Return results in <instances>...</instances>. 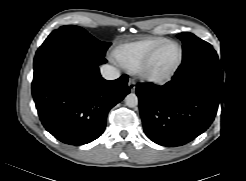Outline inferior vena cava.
<instances>
[{"mask_svg": "<svg viewBox=\"0 0 246 181\" xmlns=\"http://www.w3.org/2000/svg\"><path fill=\"white\" fill-rule=\"evenodd\" d=\"M101 75L106 80H115L120 77V71L114 66L105 64L100 67Z\"/></svg>", "mask_w": 246, "mask_h": 181, "instance_id": "obj_1", "label": "inferior vena cava"}]
</instances>
